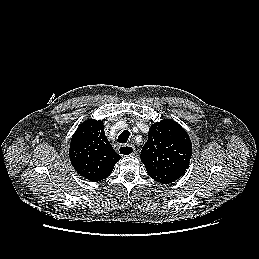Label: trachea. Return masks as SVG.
Returning a JSON list of instances; mask_svg holds the SVG:
<instances>
[{
    "label": "trachea",
    "mask_w": 259,
    "mask_h": 259,
    "mask_svg": "<svg viewBox=\"0 0 259 259\" xmlns=\"http://www.w3.org/2000/svg\"><path fill=\"white\" fill-rule=\"evenodd\" d=\"M130 132L128 130H124L119 136L117 141L119 143H126L129 139Z\"/></svg>",
    "instance_id": "trachea-1"
}]
</instances>
